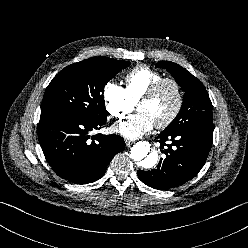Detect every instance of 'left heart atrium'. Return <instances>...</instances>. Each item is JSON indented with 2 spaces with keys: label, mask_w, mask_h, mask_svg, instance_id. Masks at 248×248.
I'll return each mask as SVG.
<instances>
[{
  "label": "left heart atrium",
  "mask_w": 248,
  "mask_h": 248,
  "mask_svg": "<svg viewBox=\"0 0 248 248\" xmlns=\"http://www.w3.org/2000/svg\"><path fill=\"white\" fill-rule=\"evenodd\" d=\"M154 126L151 118L139 111L114 127V131L128 139H137L150 131Z\"/></svg>",
  "instance_id": "obj_1"
}]
</instances>
